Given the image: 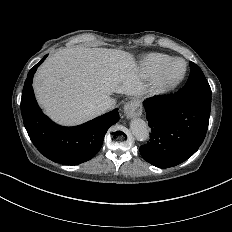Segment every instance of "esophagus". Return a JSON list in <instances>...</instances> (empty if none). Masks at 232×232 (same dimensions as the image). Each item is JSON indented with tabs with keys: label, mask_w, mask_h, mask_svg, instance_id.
Returning <instances> with one entry per match:
<instances>
[{
	"label": "esophagus",
	"mask_w": 232,
	"mask_h": 232,
	"mask_svg": "<svg viewBox=\"0 0 232 232\" xmlns=\"http://www.w3.org/2000/svg\"><path fill=\"white\" fill-rule=\"evenodd\" d=\"M124 113L127 118L140 117L142 115V104L139 98H134L124 105Z\"/></svg>",
	"instance_id": "1"
}]
</instances>
